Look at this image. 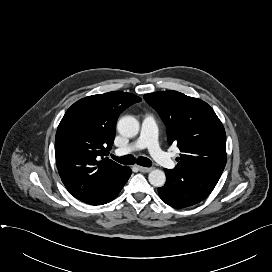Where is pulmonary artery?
Wrapping results in <instances>:
<instances>
[{
    "instance_id": "pulmonary-artery-1",
    "label": "pulmonary artery",
    "mask_w": 272,
    "mask_h": 272,
    "mask_svg": "<svg viewBox=\"0 0 272 272\" xmlns=\"http://www.w3.org/2000/svg\"><path fill=\"white\" fill-rule=\"evenodd\" d=\"M144 148H147L156 162L163 167L168 169H173L175 167L176 164L173 159L159 146L157 124L154 117L151 115H146L144 117L138 139L127 146L117 149L116 153L125 155Z\"/></svg>"
}]
</instances>
